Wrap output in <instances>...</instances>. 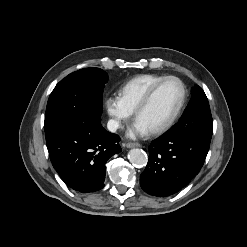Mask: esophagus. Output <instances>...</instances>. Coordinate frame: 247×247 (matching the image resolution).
<instances>
[{"instance_id": "34e87169", "label": "esophagus", "mask_w": 247, "mask_h": 247, "mask_svg": "<svg viewBox=\"0 0 247 247\" xmlns=\"http://www.w3.org/2000/svg\"><path fill=\"white\" fill-rule=\"evenodd\" d=\"M141 145L139 143H134V142H128L126 143L127 148H133V147H140Z\"/></svg>"}]
</instances>
